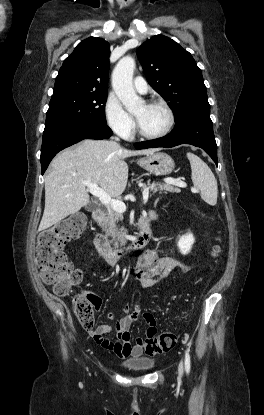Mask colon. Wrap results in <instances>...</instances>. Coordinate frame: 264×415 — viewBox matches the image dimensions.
<instances>
[{
	"label": "colon",
	"mask_w": 264,
	"mask_h": 415,
	"mask_svg": "<svg viewBox=\"0 0 264 415\" xmlns=\"http://www.w3.org/2000/svg\"><path fill=\"white\" fill-rule=\"evenodd\" d=\"M85 225V216L74 214L38 234L37 266L43 282L53 286V292L57 296L68 295L83 278V272L68 260L63 249L67 242L78 239L84 234ZM219 251L220 248L215 246L213 254L216 255ZM97 302V297L86 291H81L73 298L74 314L86 329L92 328L94 324ZM143 342L148 355H159L175 345L176 337L169 333L156 335L153 331L148 330Z\"/></svg>",
	"instance_id": "colon-1"
}]
</instances>
